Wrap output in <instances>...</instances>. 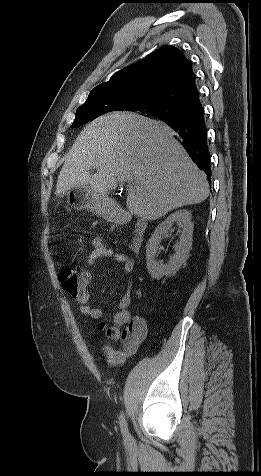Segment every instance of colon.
Returning <instances> with one entry per match:
<instances>
[{
  "label": "colon",
  "instance_id": "colon-1",
  "mask_svg": "<svg viewBox=\"0 0 261 476\" xmlns=\"http://www.w3.org/2000/svg\"><path fill=\"white\" fill-rule=\"evenodd\" d=\"M59 281L63 289L70 294H75L82 286H84L89 278L83 272L77 271L72 267H64L59 273ZM104 325H100V329H104ZM108 334L116 337L117 332L114 330H108Z\"/></svg>",
  "mask_w": 261,
  "mask_h": 476
}]
</instances>
